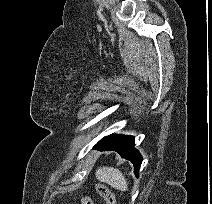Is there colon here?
<instances>
[{
    "label": "colon",
    "instance_id": "colon-1",
    "mask_svg": "<svg viewBox=\"0 0 212 204\" xmlns=\"http://www.w3.org/2000/svg\"><path fill=\"white\" fill-rule=\"evenodd\" d=\"M96 190L106 204H116L114 194L106 186L96 184ZM81 204H93V201L90 197L84 196L81 200Z\"/></svg>",
    "mask_w": 212,
    "mask_h": 204
}]
</instances>
